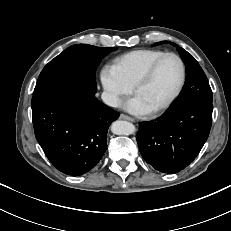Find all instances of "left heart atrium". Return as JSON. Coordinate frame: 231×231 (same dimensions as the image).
<instances>
[{
	"mask_svg": "<svg viewBox=\"0 0 231 231\" xmlns=\"http://www.w3.org/2000/svg\"><path fill=\"white\" fill-rule=\"evenodd\" d=\"M124 108L128 112L137 114V115L147 114L151 111V109L137 95L129 99L124 104Z\"/></svg>",
	"mask_w": 231,
	"mask_h": 231,
	"instance_id": "obj_1",
	"label": "left heart atrium"
}]
</instances>
